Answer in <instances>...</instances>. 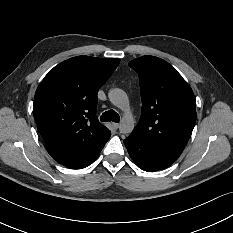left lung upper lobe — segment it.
I'll return each mask as SVG.
<instances>
[{"instance_id": "1", "label": "left lung upper lobe", "mask_w": 233, "mask_h": 233, "mask_svg": "<svg viewBox=\"0 0 233 233\" xmlns=\"http://www.w3.org/2000/svg\"><path fill=\"white\" fill-rule=\"evenodd\" d=\"M139 75L142 113L132 134L181 154L196 123L195 97L182 76L166 61L142 56L129 62Z\"/></svg>"}]
</instances>
